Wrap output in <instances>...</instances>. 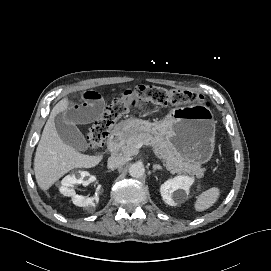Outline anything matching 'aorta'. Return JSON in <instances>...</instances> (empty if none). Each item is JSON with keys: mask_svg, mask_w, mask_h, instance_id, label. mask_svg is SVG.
I'll use <instances>...</instances> for the list:
<instances>
[{"mask_svg": "<svg viewBox=\"0 0 271 271\" xmlns=\"http://www.w3.org/2000/svg\"><path fill=\"white\" fill-rule=\"evenodd\" d=\"M145 168L142 163L136 162L129 167V174L133 178H140L144 175Z\"/></svg>", "mask_w": 271, "mask_h": 271, "instance_id": "1", "label": "aorta"}]
</instances>
